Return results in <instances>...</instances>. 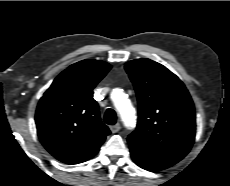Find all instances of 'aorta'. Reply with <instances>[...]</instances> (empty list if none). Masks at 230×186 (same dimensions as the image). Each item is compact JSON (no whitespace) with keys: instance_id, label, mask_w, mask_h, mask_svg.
<instances>
[{"instance_id":"aorta-1","label":"aorta","mask_w":230,"mask_h":186,"mask_svg":"<svg viewBox=\"0 0 230 186\" xmlns=\"http://www.w3.org/2000/svg\"><path fill=\"white\" fill-rule=\"evenodd\" d=\"M111 99L125 127H134L136 124L135 110L123 91L121 89H113Z\"/></svg>"}]
</instances>
